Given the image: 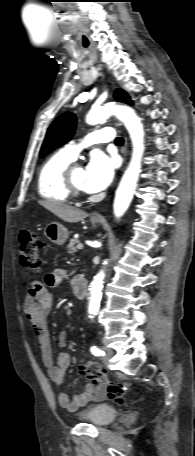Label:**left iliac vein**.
<instances>
[{"mask_svg":"<svg viewBox=\"0 0 195 456\" xmlns=\"http://www.w3.org/2000/svg\"><path fill=\"white\" fill-rule=\"evenodd\" d=\"M104 352H105V355L103 357L104 360H107L108 358H110L114 354V350L111 349V348H108V347L104 348Z\"/></svg>","mask_w":195,"mask_h":456,"instance_id":"4c4485c4","label":"left iliac vein"}]
</instances>
